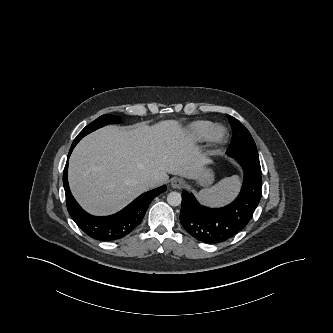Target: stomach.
<instances>
[{
    "mask_svg": "<svg viewBox=\"0 0 333 333\" xmlns=\"http://www.w3.org/2000/svg\"><path fill=\"white\" fill-rule=\"evenodd\" d=\"M196 180L201 186H209L213 182L214 176L210 169L203 167L199 178Z\"/></svg>",
    "mask_w": 333,
    "mask_h": 333,
    "instance_id": "1",
    "label": "stomach"
}]
</instances>
